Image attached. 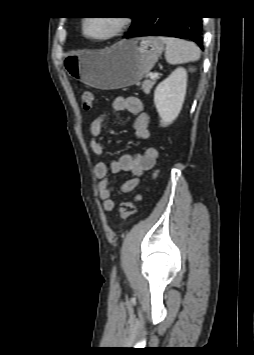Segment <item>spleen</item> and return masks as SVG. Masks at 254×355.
Segmentation results:
<instances>
[{
  "label": "spleen",
  "instance_id": "1",
  "mask_svg": "<svg viewBox=\"0 0 254 355\" xmlns=\"http://www.w3.org/2000/svg\"><path fill=\"white\" fill-rule=\"evenodd\" d=\"M159 39L166 44L165 59L169 64L195 62L200 58L201 51L193 42L163 36Z\"/></svg>",
  "mask_w": 254,
  "mask_h": 355
}]
</instances>
